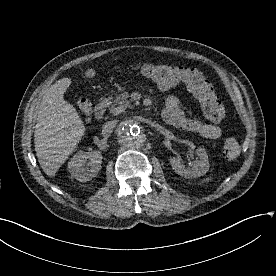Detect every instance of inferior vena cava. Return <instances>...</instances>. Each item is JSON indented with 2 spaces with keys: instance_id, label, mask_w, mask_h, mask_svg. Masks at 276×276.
Masks as SVG:
<instances>
[{
  "instance_id": "inferior-vena-cava-1",
  "label": "inferior vena cava",
  "mask_w": 276,
  "mask_h": 276,
  "mask_svg": "<svg viewBox=\"0 0 276 276\" xmlns=\"http://www.w3.org/2000/svg\"><path fill=\"white\" fill-rule=\"evenodd\" d=\"M117 120H112L108 121L104 126H103V133L108 134L112 132L113 128L116 126Z\"/></svg>"
}]
</instances>
